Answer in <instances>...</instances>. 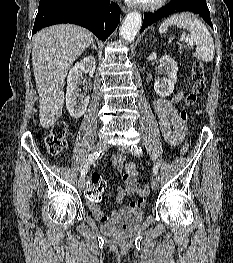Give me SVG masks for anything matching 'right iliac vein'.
<instances>
[{
	"label": "right iliac vein",
	"instance_id": "1",
	"mask_svg": "<svg viewBox=\"0 0 233 263\" xmlns=\"http://www.w3.org/2000/svg\"><path fill=\"white\" fill-rule=\"evenodd\" d=\"M97 150H106L108 148V143L105 140H99L97 142ZM86 185L85 182V178L84 177H80L78 180V186L80 187V189H84Z\"/></svg>",
	"mask_w": 233,
	"mask_h": 263
}]
</instances>
